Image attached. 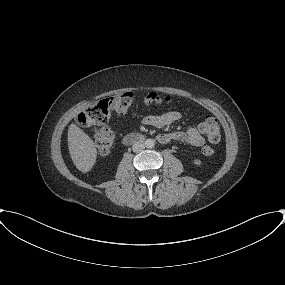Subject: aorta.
<instances>
[{"instance_id":"obj_1","label":"aorta","mask_w":285,"mask_h":285,"mask_svg":"<svg viewBox=\"0 0 285 285\" xmlns=\"http://www.w3.org/2000/svg\"><path fill=\"white\" fill-rule=\"evenodd\" d=\"M145 146L146 148H153L155 145V141L153 139H147L145 140Z\"/></svg>"}]
</instances>
